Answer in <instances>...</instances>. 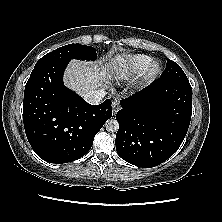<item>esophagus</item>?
I'll list each match as a JSON object with an SVG mask.
<instances>
[{"mask_svg": "<svg viewBox=\"0 0 222 222\" xmlns=\"http://www.w3.org/2000/svg\"><path fill=\"white\" fill-rule=\"evenodd\" d=\"M118 110H120V103H119L118 100H114V101L112 102V111H113V114L115 115Z\"/></svg>", "mask_w": 222, "mask_h": 222, "instance_id": "34e87169", "label": "esophagus"}]
</instances>
